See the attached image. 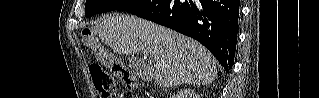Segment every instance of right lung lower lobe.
I'll return each instance as SVG.
<instances>
[{
	"instance_id": "right-lung-lower-lobe-1",
	"label": "right lung lower lobe",
	"mask_w": 319,
	"mask_h": 98,
	"mask_svg": "<svg viewBox=\"0 0 319 98\" xmlns=\"http://www.w3.org/2000/svg\"><path fill=\"white\" fill-rule=\"evenodd\" d=\"M239 5V0H152L127 12L196 39L229 72L237 43Z\"/></svg>"
}]
</instances>
